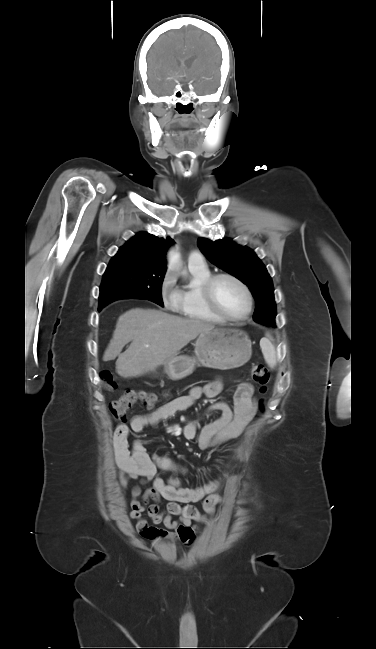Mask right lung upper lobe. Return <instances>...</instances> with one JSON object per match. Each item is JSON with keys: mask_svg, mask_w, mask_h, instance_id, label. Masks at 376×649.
I'll use <instances>...</instances> for the list:
<instances>
[{"mask_svg": "<svg viewBox=\"0 0 376 649\" xmlns=\"http://www.w3.org/2000/svg\"><path fill=\"white\" fill-rule=\"evenodd\" d=\"M173 240L141 232L120 247L113 258H132L147 263L150 271H165V253Z\"/></svg>", "mask_w": 376, "mask_h": 649, "instance_id": "obj_1", "label": "right lung upper lobe"}]
</instances>
